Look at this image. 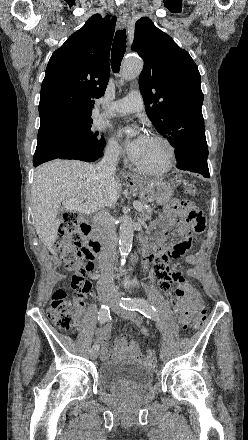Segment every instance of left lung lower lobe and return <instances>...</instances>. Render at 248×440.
Listing matches in <instances>:
<instances>
[{"mask_svg": "<svg viewBox=\"0 0 248 440\" xmlns=\"http://www.w3.org/2000/svg\"><path fill=\"white\" fill-rule=\"evenodd\" d=\"M177 168L181 170L197 172L199 174H202L206 178L210 177L207 157L205 156H195L178 160Z\"/></svg>", "mask_w": 248, "mask_h": 440, "instance_id": "0a47b994", "label": "left lung lower lobe"}]
</instances>
